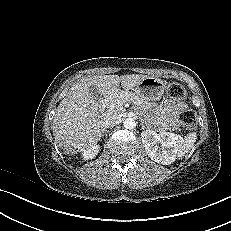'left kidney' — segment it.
Masks as SVG:
<instances>
[{
    "label": "left kidney",
    "instance_id": "left-kidney-1",
    "mask_svg": "<svg viewBox=\"0 0 231 231\" xmlns=\"http://www.w3.org/2000/svg\"><path fill=\"white\" fill-rule=\"evenodd\" d=\"M141 139L151 160L163 165L175 161L178 148L183 142L180 135L170 132L156 133L153 130L142 131ZM160 144V146H158Z\"/></svg>",
    "mask_w": 231,
    "mask_h": 231
}]
</instances>
